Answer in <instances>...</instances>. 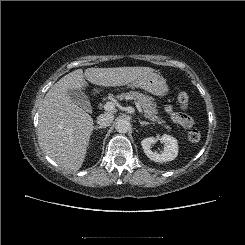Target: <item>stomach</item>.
Masks as SVG:
<instances>
[{"mask_svg": "<svg viewBox=\"0 0 245 245\" xmlns=\"http://www.w3.org/2000/svg\"><path fill=\"white\" fill-rule=\"evenodd\" d=\"M128 86L144 89L157 97H165L169 93L166 80L157 73H151L138 78L137 80L130 82Z\"/></svg>", "mask_w": 245, "mask_h": 245, "instance_id": "0dacf381", "label": "stomach"}]
</instances>
